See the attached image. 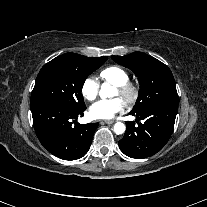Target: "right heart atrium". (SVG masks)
<instances>
[{
	"label": "right heart atrium",
	"instance_id": "obj_1",
	"mask_svg": "<svg viewBox=\"0 0 207 207\" xmlns=\"http://www.w3.org/2000/svg\"><path fill=\"white\" fill-rule=\"evenodd\" d=\"M99 91V84L95 77H87L81 86V92L85 99L91 101L94 100Z\"/></svg>",
	"mask_w": 207,
	"mask_h": 207
}]
</instances>
